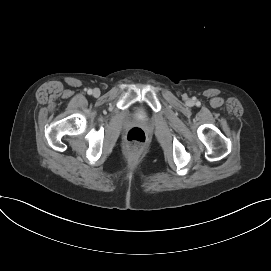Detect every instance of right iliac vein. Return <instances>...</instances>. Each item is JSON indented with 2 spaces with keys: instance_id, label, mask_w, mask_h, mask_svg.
<instances>
[{
  "instance_id": "1",
  "label": "right iliac vein",
  "mask_w": 271,
  "mask_h": 271,
  "mask_svg": "<svg viewBox=\"0 0 271 271\" xmlns=\"http://www.w3.org/2000/svg\"><path fill=\"white\" fill-rule=\"evenodd\" d=\"M93 95H94L95 97H98V96L100 95L99 89H94Z\"/></svg>"
}]
</instances>
